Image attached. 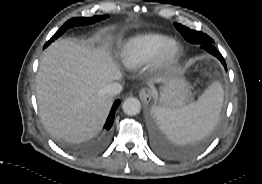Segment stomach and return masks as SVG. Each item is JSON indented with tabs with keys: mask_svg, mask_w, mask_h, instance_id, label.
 <instances>
[{
	"mask_svg": "<svg viewBox=\"0 0 262 184\" xmlns=\"http://www.w3.org/2000/svg\"><path fill=\"white\" fill-rule=\"evenodd\" d=\"M191 97L189 83L180 77H173L159 88L158 103L161 107L179 108Z\"/></svg>",
	"mask_w": 262,
	"mask_h": 184,
	"instance_id": "stomach-1",
	"label": "stomach"
}]
</instances>
